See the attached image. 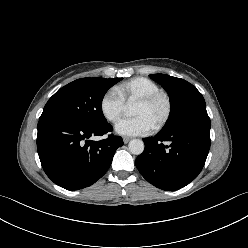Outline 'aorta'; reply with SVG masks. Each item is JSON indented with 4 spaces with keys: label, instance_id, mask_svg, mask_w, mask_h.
<instances>
[{
    "label": "aorta",
    "instance_id": "762f6f07",
    "mask_svg": "<svg viewBox=\"0 0 248 248\" xmlns=\"http://www.w3.org/2000/svg\"><path fill=\"white\" fill-rule=\"evenodd\" d=\"M144 142L140 139H133L129 142V151L134 155H140L144 151Z\"/></svg>",
    "mask_w": 248,
    "mask_h": 248
}]
</instances>
